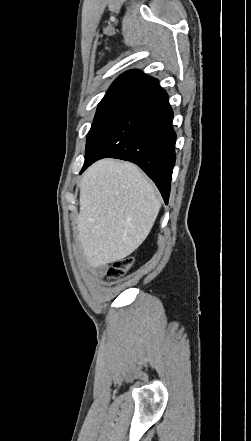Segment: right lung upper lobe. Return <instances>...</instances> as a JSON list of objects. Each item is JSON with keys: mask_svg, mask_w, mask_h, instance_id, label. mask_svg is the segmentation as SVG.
Returning <instances> with one entry per match:
<instances>
[{"mask_svg": "<svg viewBox=\"0 0 251 441\" xmlns=\"http://www.w3.org/2000/svg\"><path fill=\"white\" fill-rule=\"evenodd\" d=\"M158 86V80L139 70H130L119 76L101 101L126 100L135 102Z\"/></svg>", "mask_w": 251, "mask_h": 441, "instance_id": "cb5924a9", "label": "right lung upper lobe"}]
</instances>
